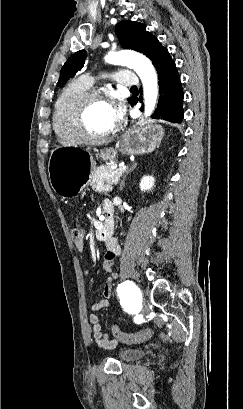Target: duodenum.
Masks as SVG:
<instances>
[{"label": "duodenum", "mask_w": 243, "mask_h": 409, "mask_svg": "<svg viewBox=\"0 0 243 409\" xmlns=\"http://www.w3.org/2000/svg\"><path fill=\"white\" fill-rule=\"evenodd\" d=\"M107 217L102 222L96 226V238L99 240H108L112 236L114 222L111 215V211L106 209Z\"/></svg>", "instance_id": "410a0bca"}]
</instances>
